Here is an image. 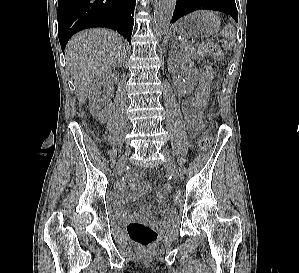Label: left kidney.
<instances>
[{"label":"left kidney","instance_id":"obj_1","mask_svg":"<svg viewBox=\"0 0 299 273\" xmlns=\"http://www.w3.org/2000/svg\"><path fill=\"white\" fill-rule=\"evenodd\" d=\"M178 67L183 68L185 74V81L179 85V91L182 95L189 94L193 91L194 85L198 79V73L195 69L192 61L179 51L169 52L168 57V70L169 72H175Z\"/></svg>","mask_w":299,"mask_h":273}]
</instances>
